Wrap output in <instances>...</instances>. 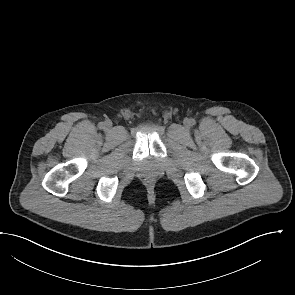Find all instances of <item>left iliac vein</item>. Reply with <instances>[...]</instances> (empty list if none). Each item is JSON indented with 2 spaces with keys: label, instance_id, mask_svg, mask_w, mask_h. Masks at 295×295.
<instances>
[{
  "label": "left iliac vein",
  "instance_id": "1",
  "mask_svg": "<svg viewBox=\"0 0 295 295\" xmlns=\"http://www.w3.org/2000/svg\"><path fill=\"white\" fill-rule=\"evenodd\" d=\"M190 125H191L190 119H185L184 120V126H185V128H189Z\"/></svg>",
  "mask_w": 295,
  "mask_h": 295
}]
</instances>
